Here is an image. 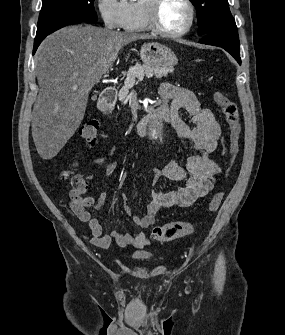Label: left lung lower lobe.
Instances as JSON below:
<instances>
[{"label":"left lung lower lobe","instance_id":"obj_1","mask_svg":"<svg viewBox=\"0 0 285 335\" xmlns=\"http://www.w3.org/2000/svg\"><path fill=\"white\" fill-rule=\"evenodd\" d=\"M200 43L224 48L241 64L237 27H225L208 31Z\"/></svg>","mask_w":285,"mask_h":335}]
</instances>
